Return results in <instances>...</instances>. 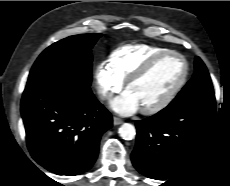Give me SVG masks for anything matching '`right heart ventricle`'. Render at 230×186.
I'll return each instance as SVG.
<instances>
[{
    "instance_id": "right-heart-ventricle-1",
    "label": "right heart ventricle",
    "mask_w": 230,
    "mask_h": 186,
    "mask_svg": "<svg viewBox=\"0 0 230 186\" xmlns=\"http://www.w3.org/2000/svg\"><path fill=\"white\" fill-rule=\"evenodd\" d=\"M167 50L149 44H127L113 50L108 63L114 73L125 82L148 59Z\"/></svg>"
}]
</instances>
